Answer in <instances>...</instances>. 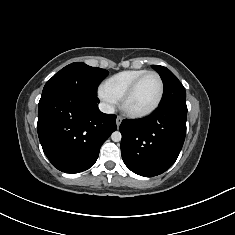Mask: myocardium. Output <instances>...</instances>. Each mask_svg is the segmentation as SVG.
I'll use <instances>...</instances> for the list:
<instances>
[{
    "label": "myocardium",
    "mask_w": 235,
    "mask_h": 235,
    "mask_svg": "<svg viewBox=\"0 0 235 235\" xmlns=\"http://www.w3.org/2000/svg\"><path fill=\"white\" fill-rule=\"evenodd\" d=\"M148 75H155L159 81L160 91H159V95H158L156 102L150 108H148L146 110H142V111L130 110L127 107L128 99L133 95V93L135 92L139 83ZM164 92H165V85H164V81H163L162 77L160 76V74L156 71H147V72L143 73L142 75H140L139 77H137L131 83V85L127 88V90L125 91V93L123 94V96L121 98V108L127 115H129L131 117L138 118V117L147 116V115L153 113L160 106V104L163 100V97H164Z\"/></svg>",
    "instance_id": "1"
}]
</instances>
